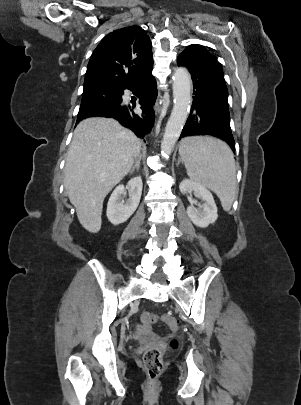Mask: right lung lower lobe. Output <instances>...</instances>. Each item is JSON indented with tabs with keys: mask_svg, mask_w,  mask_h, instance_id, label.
I'll list each match as a JSON object with an SVG mask.
<instances>
[{
	"mask_svg": "<svg viewBox=\"0 0 301 405\" xmlns=\"http://www.w3.org/2000/svg\"><path fill=\"white\" fill-rule=\"evenodd\" d=\"M152 68L146 70L133 84L126 89L138 92L139 103L144 116L134 113V106L122 105L117 102L110 105L99 106L78 113L77 122L88 117H108L119 121L121 125L131 129L137 136L144 138L154 125L153 104L157 97L156 80L152 75ZM123 93V91H122Z\"/></svg>",
	"mask_w": 301,
	"mask_h": 405,
	"instance_id": "98d812e1",
	"label": "right lung lower lobe"
}]
</instances>
